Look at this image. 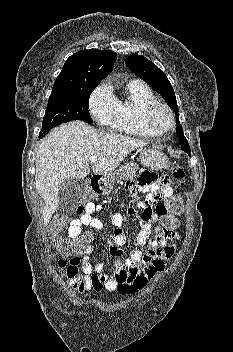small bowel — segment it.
Listing matches in <instances>:
<instances>
[{"mask_svg":"<svg viewBox=\"0 0 233 352\" xmlns=\"http://www.w3.org/2000/svg\"><path fill=\"white\" fill-rule=\"evenodd\" d=\"M132 195L135 197L136 189L130 186ZM137 191L147 193L145 201L140 203L142 214L136 216L132 204L127 208L129 215L135 216L140 225V230L135 234L137 242L141 245L147 244L149 249L146 253L135 250L126 263L119 261L122 255L120 247L127 243V237L121 229L123 217L120 213H114L112 224L115 226L112 235V244L110 254L114 259L110 273L104 272V265L97 263L91 265L89 256L92 253V247L84 248L82 259L79 257L72 258L68 263L60 260L58 265L65 269L66 279L71 288L83 294L93 289L91 283L92 274L96 273L104 277L103 287L108 291H118L120 294H130L143 287L148 280L155 277L164 269V261L170 259L175 253V244H167L169 240L176 239L177 233L173 230L163 232L159 230L161 216L157 210H153L155 202L162 199H168L173 194V189L169 185L167 177L151 172L141 170L137 183ZM161 204V203H160ZM102 210V205L93 202H87L84 207V213L70 221L68 235L76 239L81 235L82 226H90L100 230L102 222L93 217L95 212ZM156 228V235L152 236L153 229Z\"/></svg>","mask_w":233,"mask_h":352,"instance_id":"c3829d8e","label":"small bowel"}]
</instances>
